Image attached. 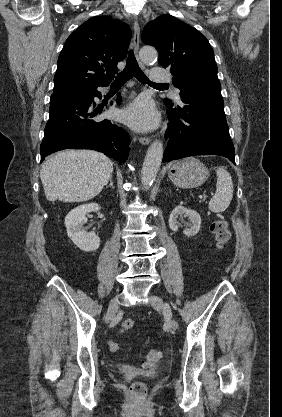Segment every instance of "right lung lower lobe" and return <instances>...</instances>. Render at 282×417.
Instances as JSON below:
<instances>
[{
	"mask_svg": "<svg viewBox=\"0 0 282 417\" xmlns=\"http://www.w3.org/2000/svg\"><path fill=\"white\" fill-rule=\"evenodd\" d=\"M97 87L51 100L49 121L40 146L41 162L45 156L68 148L94 149L114 158L120 164L126 161L129 135L111 121L98 118L102 109L95 108L93 101L94 97L101 98ZM116 102H120V97Z\"/></svg>",
	"mask_w": 282,
	"mask_h": 417,
	"instance_id": "obj_1",
	"label": "right lung lower lobe"
}]
</instances>
